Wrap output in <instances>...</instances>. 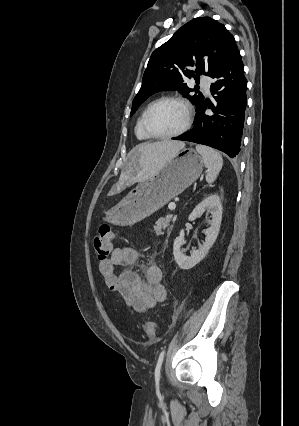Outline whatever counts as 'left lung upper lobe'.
I'll use <instances>...</instances> for the list:
<instances>
[{
	"label": "left lung upper lobe",
	"instance_id": "5c2ea615",
	"mask_svg": "<svg viewBox=\"0 0 299 426\" xmlns=\"http://www.w3.org/2000/svg\"><path fill=\"white\" fill-rule=\"evenodd\" d=\"M237 49L232 34L216 20L198 17L186 23L152 53L142 86L133 100L131 115L144 100L162 90H178L198 108L204 96L190 95L193 89L186 82L201 74L211 77Z\"/></svg>",
	"mask_w": 299,
	"mask_h": 426
}]
</instances>
